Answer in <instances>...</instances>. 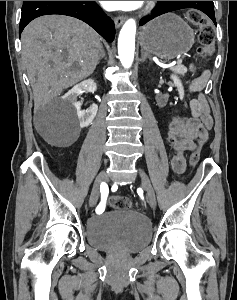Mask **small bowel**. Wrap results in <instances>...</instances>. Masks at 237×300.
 <instances>
[{"label":"small bowel","mask_w":237,"mask_h":300,"mask_svg":"<svg viewBox=\"0 0 237 300\" xmlns=\"http://www.w3.org/2000/svg\"><path fill=\"white\" fill-rule=\"evenodd\" d=\"M190 71L196 72L193 64L190 66ZM209 77V72L204 71L189 85L191 92L198 93L190 102L191 117H175L167 124L166 139L175 152L171 164L176 174H182L185 171V153L194 150L195 140L199 139L205 143L208 139V131L213 126L207 102L200 93L207 85ZM80 183L81 187H85L83 181Z\"/></svg>","instance_id":"small-bowel-1"}]
</instances>
